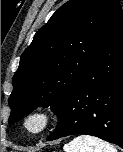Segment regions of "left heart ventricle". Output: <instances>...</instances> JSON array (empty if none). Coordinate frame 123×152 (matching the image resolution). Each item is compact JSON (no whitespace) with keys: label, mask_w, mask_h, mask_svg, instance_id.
Masks as SVG:
<instances>
[{"label":"left heart ventricle","mask_w":123,"mask_h":152,"mask_svg":"<svg viewBox=\"0 0 123 152\" xmlns=\"http://www.w3.org/2000/svg\"><path fill=\"white\" fill-rule=\"evenodd\" d=\"M38 125H39L38 120H34V121H32V123H31V127H32V128H36Z\"/></svg>","instance_id":"1"}]
</instances>
